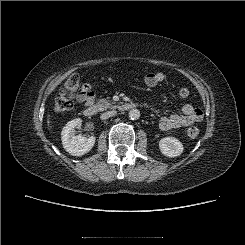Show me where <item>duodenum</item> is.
<instances>
[{
  "instance_id": "duodenum-1",
  "label": "duodenum",
  "mask_w": 245,
  "mask_h": 245,
  "mask_svg": "<svg viewBox=\"0 0 245 245\" xmlns=\"http://www.w3.org/2000/svg\"><path fill=\"white\" fill-rule=\"evenodd\" d=\"M136 104L135 103H132V102H127V103H123L121 105H119V110L122 111V112H125V111H129L133 108H135ZM99 112V107L94 104L93 102L90 103V104H87V106L84 108V115L86 117H93L95 115H97Z\"/></svg>"
}]
</instances>
